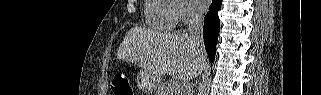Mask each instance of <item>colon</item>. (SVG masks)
<instances>
[{"mask_svg":"<svg viewBox=\"0 0 321 95\" xmlns=\"http://www.w3.org/2000/svg\"><path fill=\"white\" fill-rule=\"evenodd\" d=\"M111 90L115 95H133V90L126 76L116 75L111 83Z\"/></svg>","mask_w":321,"mask_h":95,"instance_id":"1","label":"colon"}]
</instances>
